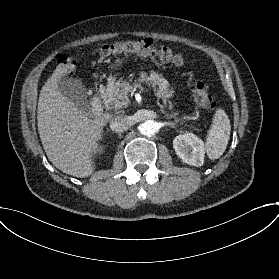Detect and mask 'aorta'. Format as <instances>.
Here are the masks:
<instances>
[{"label": "aorta", "mask_w": 279, "mask_h": 279, "mask_svg": "<svg viewBox=\"0 0 279 279\" xmlns=\"http://www.w3.org/2000/svg\"><path fill=\"white\" fill-rule=\"evenodd\" d=\"M140 132L145 136H151L159 131V124L154 120H146L139 125Z\"/></svg>", "instance_id": "762f6f07"}]
</instances>
